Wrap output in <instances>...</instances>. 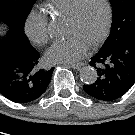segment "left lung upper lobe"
<instances>
[{"label": "left lung upper lobe", "instance_id": "5c2ea615", "mask_svg": "<svg viewBox=\"0 0 135 135\" xmlns=\"http://www.w3.org/2000/svg\"><path fill=\"white\" fill-rule=\"evenodd\" d=\"M113 9L111 32L102 48L135 34V0H109Z\"/></svg>", "mask_w": 135, "mask_h": 135}]
</instances>
